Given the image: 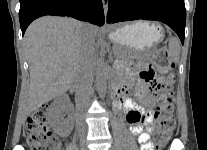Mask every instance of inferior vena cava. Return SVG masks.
I'll list each match as a JSON object with an SVG mask.
<instances>
[{
    "label": "inferior vena cava",
    "instance_id": "inferior-vena-cava-1",
    "mask_svg": "<svg viewBox=\"0 0 207 150\" xmlns=\"http://www.w3.org/2000/svg\"><path fill=\"white\" fill-rule=\"evenodd\" d=\"M93 65L94 39L87 30H84L74 77L77 101L83 106L90 100V90L93 83Z\"/></svg>",
    "mask_w": 207,
    "mask_h": 150
}]
</instances>
